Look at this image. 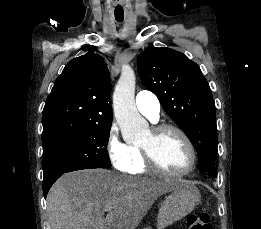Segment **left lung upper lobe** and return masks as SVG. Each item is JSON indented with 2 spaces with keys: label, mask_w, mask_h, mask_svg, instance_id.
<instances>
[{
  "label": "left lung upper lobe",
  "mask_w": 261,
  "mask_h": 229,
  "mask_svg": "<svg viewBox=\"0 0 261 229\" xmlns=\"http://www.w3.org/2000/svg\"><path fill=\"white\" fill-rule=\"evenodd\" d=\"M144 87L159 99L167 114L194 145L199 169L214 166L217 149L215 105L199 66L170 48L149 47L137 59Z\"/></svg>",
  "instance_id": "5c2ea615"
}]
</instances>
